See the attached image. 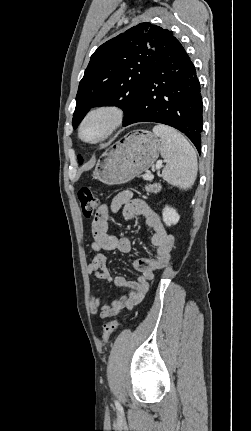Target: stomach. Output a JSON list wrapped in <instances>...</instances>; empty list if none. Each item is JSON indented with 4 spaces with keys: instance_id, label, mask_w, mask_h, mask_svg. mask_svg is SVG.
Returning a JSON list of instances; mask_svg holds the SVG:
<instances>
[{
    "instance_id": "1",
    "label": "stomach",
    "mask_w": 251,
    "mask_h": 431,
    "mask_svg": "<svg viewBox=\"0 0 251 431\" xmlns=\"http://www.w3.org/2000/svg\"><path fill=\"white\" fill-rule=\"evenodd\" d=\"M160 151L156 135L147 130L131 131L101 155L93 177L107 185L127 183L149 169Z\"/></svg>"
}]
</instances>
